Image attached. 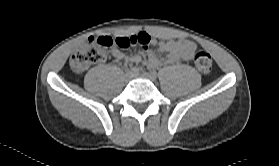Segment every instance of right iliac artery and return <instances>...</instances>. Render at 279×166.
I'll list each match as a JSON object with an SVG mask.
<instances>
[{
	"instance_id": "right-iliac-artery-1",
	"label": "right iliac artery",
	"mask_w": 279,
	"mask_h": 166,
	"mask_svg": "<svg viewBox=\"0 0 279 166\" xmlns=\"http://www.w3.org/2000/svg\"><path fill=\"white\" fill-rule=\"evenodd\" d=\"M130 71H131L133 74H138V73H139V68L133 67V68L130 69Z\"/></svg>"
}]
</instances>
